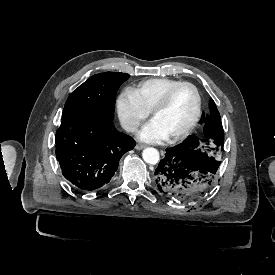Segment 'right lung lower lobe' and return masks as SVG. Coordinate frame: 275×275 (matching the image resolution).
<instances>
[{
	"label": "right lung lower lobe",
	"mask_w": 275,
	"mask_h": 275,
	"mask_svg": "<svg viewBox=\"0 0 275 275\" xmlns=\"http://www.w3.org/2000/svg\"><path fill=\"white\" fill-rule=\"evenodd\" d=\"M56 158L63 176L81 191H94L110 182L124 153L135 141L113 123L82 116L62 117L56 132Z\"/></svg>",
	"instance_id": "1"
}]
</instances>
